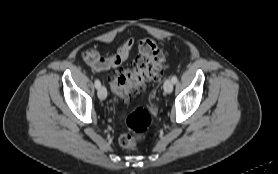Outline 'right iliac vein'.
I'll use <instances>...</instances> for the list:
<instances>
[{
    "mask_svg": "<svg viewBox=\"0 0 278 174\" xmlns=\"http://www.w3.org/2000/svg\"><path fill=\"white\" fill-rule=\"evenodd\" d=\"M98 97L101 99V100H104L106 97H107V90L104 86H101L100 88H98Z\"/></svg>",
    "mask_w": 278,
    "mask_h": 174,
    "instance_id": "obj_1",
    "label": "right iliac vein"
}]
</instances>
